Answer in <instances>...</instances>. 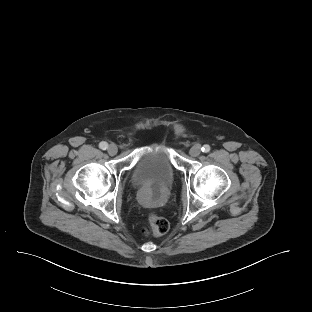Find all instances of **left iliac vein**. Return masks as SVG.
I'll use <instances>...</instances> for the list:
<instances>
[{
	"instance_id": "4c4485c4",
	"label": "left iliac vein",
	"mask_w": 312,
	"mask_h": 312,
	"mask_svg": "<svg viewBox=\"0 0 312 312\" xmlns=\"http://www.w3.org/2000/svg\"><path fill=\"white\" fill-rule=\"evenodd\" d=\"M201 153V147L200 145L196 144L194 146L191 147L189 154L193 157H197L199 156Z\"/></svg>"
}]
</instances>
